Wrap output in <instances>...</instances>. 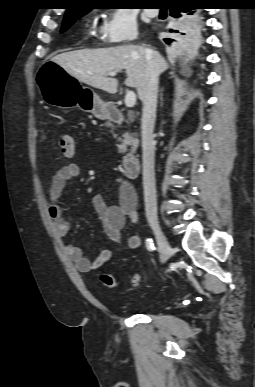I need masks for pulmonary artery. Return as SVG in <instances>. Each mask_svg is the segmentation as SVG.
Masks as SVG:
<instances>
[{"label": "pulmonary artery", "mask_w": 255, "mask_h": 387, "mask_svg": "<svg viewBox=\"0 0 255 387\" xmlns=\"http://www.w3.org/2000/svg\"><path fill=\"white\" fill-rule=\"evenodd\" d=\"M146 13L149 16L154 17V16H156L159 13V10L158 9H147Z\"/></svg>", "instance_id": "e3ab8cb5"}]
</instances>
